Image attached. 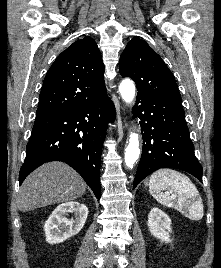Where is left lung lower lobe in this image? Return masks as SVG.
Listing matches in <instances>:
<instances>
[{"label": "left lung lower lobe", "instance_id": "1", "mask_svg": "<svg viewBox=\"0 0 221 268\" xmlns=\"http://www.w3.org/2000/svg\"><path fill=\"white\" fill-rule=\"evenodd\" d=\"M133 113L140 119L143 137L133 188L163 167L184 170L202 182V167L193 153L181 101L138 94Z\"/></svg>", "mask_w": 221, "mask_h": 268}]
</instances>
